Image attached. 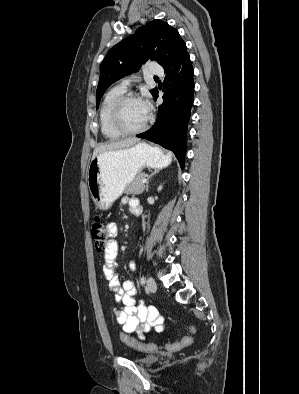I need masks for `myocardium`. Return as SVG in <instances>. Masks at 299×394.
<instances>
[{
  "label": "myocardium",
  "instance_id": "1",
  "mask_svg": "<svg viewBox=\"0 0 299 394\" xmlns=\"http://www.w3.org/2000/svg\"><path fill=\"white\" fill-rule=\"evenodd\" d=\"M128 100H140L141 101V99L137 95L132 94V93H124L123 95L118 97L111 107L110 122H111L112 127L116 131H118L120 134L134 135V134H138V133L144 131L148 127V125L151 121V115L148 113V116H147L145 122L141 126L134 128V129L126 128L121 121V109H122L123 105Z\"/></svg>",
  "mask_w": 299,
  "mask_h": 394
}]
</instances>
